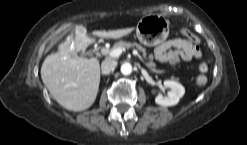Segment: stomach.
<instances>
[{
  "instance_id": "1",
  "label": "stomach",
  "mask_w": 247,
  "mask_h": 145,
  "mask_svg": "<svg viewBox=\"0 0 247 145\" xmlns=\"http://www.w3.org/2000/svg\"><path fill=\"white\" fill-rule=\"evenodd\" d=\"M169 20L161 15H147L140 19L136 35L145 46H156L163 43L169 35Z\"/></svg>"
}]
</instances>
